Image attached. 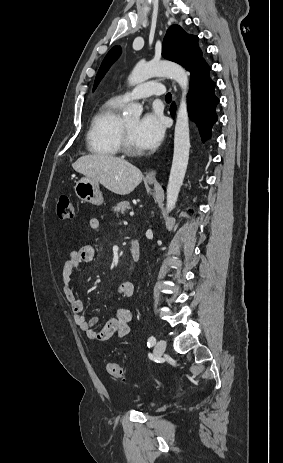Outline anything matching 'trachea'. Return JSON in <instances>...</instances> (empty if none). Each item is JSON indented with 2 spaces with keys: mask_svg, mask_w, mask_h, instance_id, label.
Segmentation results:
<instances>
[{
  "mask_svg": "<svg viewBox=\"0 0 283 463\" xmlns=\"http://www.w3.org/2000/svg\"><path fill=\"white\" fill-rule=\"evenodd\" d=\"M165 98H166L167 101H171V99H172L171 93H167Z\"/></svg>",
  "mask_w": 283,
  "mask_h": 463,
  "instance_id": "3493384b",
  "label": "trachea"
}]
</instances>
